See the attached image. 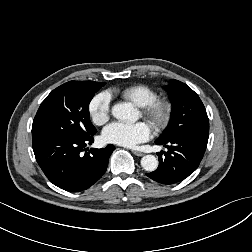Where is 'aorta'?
Masks as SVG:
<instances>
[{
	"label": "aorta",
	"mask_w": 252,
	"mask_h": 252,
	"mask_svg": "<svg viewBox=\"0 0 252 252\" xmlns=\"http://www.w3.org/2000/svg\"><path fill=\"white\" fill-rule=\"evenodd\" d=\"M112 115L121 121H136L138 114L132 104L130 103H119L112 107ZM141 166L146 171H155L158 167V160L154 155H145L141 159Z\"/></svg>",
	"instance_id": "762f6f07"
}]
</instances>
